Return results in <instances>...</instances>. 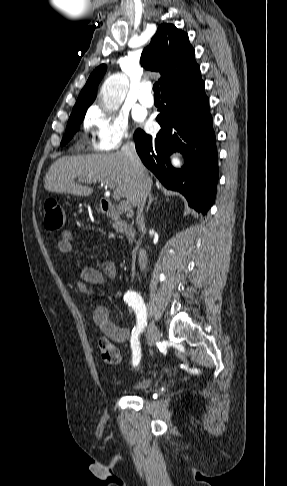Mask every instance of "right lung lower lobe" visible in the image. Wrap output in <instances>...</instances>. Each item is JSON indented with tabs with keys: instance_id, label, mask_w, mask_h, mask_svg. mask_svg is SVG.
Instances as JSON below:
<instances>
[{
	"instance_id": "98d812e1",
	"label": "right lung lower lobe",
	"mask_w": 287,
	"mask_h": 486,
	"mask_svg": "<svg viewBox=\"0 0 287 486\" xmlns=\"http://www.w3.org/2000/svg\"><path fill=\"white\" fill-rule=\"evenodd\" d=\"M161 113L156 136L137 129L136 150L144 165L168 189L181 192L196 211L211 207L218 181V159L209 100L201 77L161 92ZM180 152L185 159L178 170L168 157Z\"/></svg>"
}]
</instances>
